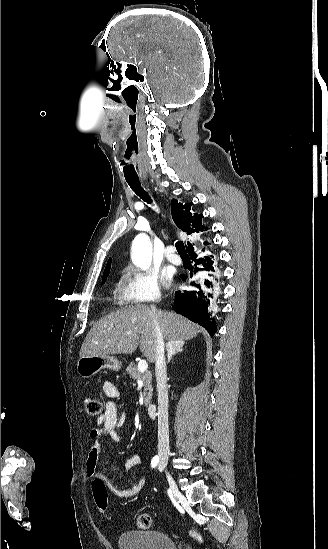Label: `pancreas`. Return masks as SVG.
I'll list each match as a JSON object with an SVG mask.
<instances>
[{"instance_id": "obj_1", "label": "pancreas", "mask_w": 328, "mask_h": 549, "mask_svg": "<svg viewBox=\"0 0 328 549\" xmlns=\"http://www.w3.org/2000/svg\"><path fill=\"white\" fill-rule=\"evenodd\" d=\"M126 373L129 375L130 379H141V381H143L145 387L143 393L145 405H150L153 391L151 371H144V373H141L140 375V371H138V367H135V363H130V365L126 367Z\"/></svg>"}]
</instances>
